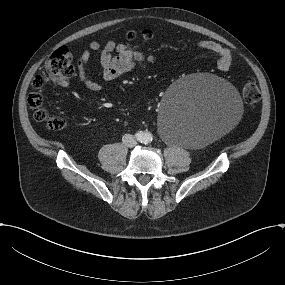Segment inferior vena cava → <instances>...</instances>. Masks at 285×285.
<instances>
[{"instance_id": "1", "label": "inferior vena cava", "mask_w": 285, "mask_h": 285, "mask_svg": "<svg viewBox=\"0 0 285 285\" xmlns=\"http://www.w3.org/2000/svg\"><path fill=\"white\" fill-rule=\"evenodd\" d=\"M125 144L128 146V147H134L136 145V141L132 138V137H128L125 139Z\"/></svg>"}]
</instances>
